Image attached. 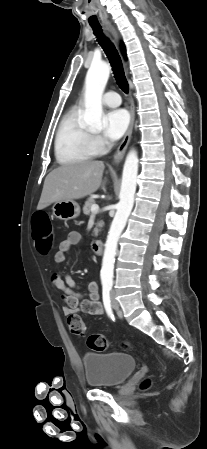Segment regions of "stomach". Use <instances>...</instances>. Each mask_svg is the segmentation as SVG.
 Listing matches in <instances>:
<instances>
[{
  "instance_id": "obj_1",
  "label": "stomach",
  "mask_w": 207,
  "mask_h": 449,
  "mask_svg": "<svg viewBox=\"0 0 207 449\" xmlns=\"http://www.w3.org/2000/svg\"><path fill=\"white\" fill-rule=\"evenodd\" d=\"M53 215L60 220H70L80 215V206L74 200L55 202L52 207Z\"/></svg>"
}]
</instances>
